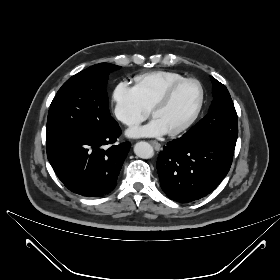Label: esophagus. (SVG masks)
<instances>
[{"mask_svg": "<svg viewBox=\"0 0 280 280\" xmlns=\"http://www.w3.org/2000/svg\"><path fill=\"white\" fill-rule=\"evenodd\" d=\"M150 144L152 145V147L156 150V151H158V150H160V144L158 143V142H156V141H150Z\"/></svg>", "mask_w": 280, "mask_h": 280, "instance_id": "esophagus-1", "label": "esophagus"}]
</instances>
